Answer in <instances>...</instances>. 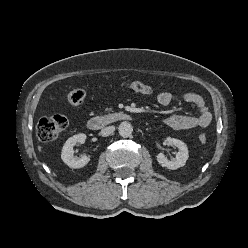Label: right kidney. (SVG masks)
I'll list each match as a JSON object with an SVG mask.
<instances>
[{"label": "right kidney", "mask_w": 248, "mask_h": 248, "mask_svg": "<svg viewBox=\"0 0 248 248\" xmlns=\"http://www.w3.org/2000/svg\"><path fill=\"white\" fill-rule=\"evenodd\" d=\"M86 140V134L79 133L70 137L64 144L61 153L62 161L71 168H82L88 164L90 158L86 155L82 156L81 158L74 157V150L73 147L76 143H84Z\"/></svg>", "instance_id": "1"}]
</instances>
